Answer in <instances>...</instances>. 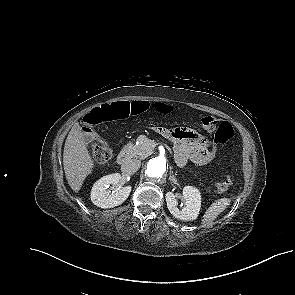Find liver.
<instances>
[{
	"instance_id": "obj_1",
	"label": "liver",
	"mask_w": 295,
	"mask_h": 295,
	"mask_svg": "<svg viewBox=\"0 0 295 295\" xmlns=\"http://www.w3.org/2000/svg\"><path fill=\"white\" fill-rule=\"evenodd\" d=\"M63 165L69 186L78 192L85 178L92 173L94 162L79 127L70 131L64 146Z\"/></svg>"
}]
</instances>
